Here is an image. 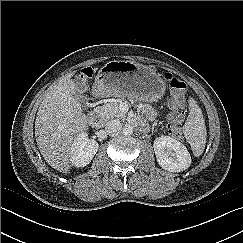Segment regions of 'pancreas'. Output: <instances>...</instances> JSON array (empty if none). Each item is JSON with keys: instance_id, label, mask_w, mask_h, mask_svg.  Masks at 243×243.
<instances>
[{"instance_id": "cf45deb5", "label": "pancreas", "mask_w": 243, "mask_h": 243, "mask_svg": "<svg viewBox=\"0 0 243 243\" xmlns=\"http://www.w3.org/2000/svg\"><path fill=\"white\" fill-rule=\"evenodd\" d=\"M99 112L103 118L106 120L112 119V118H124L125 113L121 112L119 109V104L117 102H109L107 104H104L99 108Z\"/></svg>"}]
</instances>
